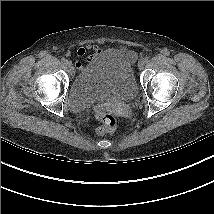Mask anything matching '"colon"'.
I'll use <instances>...</instances> for the list:
<instances>
[{
	"label": "colon",
	"instance_id": "5ec220e1",
	"mask_svg": "<svg viewBox=\"0 0 214 214\" xmlns=\"http://www.w3.org/2000/svg\"><path fill=\"white\" fill-rule=\"evenodd\" d=\"M101 126L97 129L99 135H105L115 131L117 127V121L115 117L108 113H100L99 115Z\"/></svg>",
	"mask_w": 214,
	"mask_h": 214
}]
</instances>
